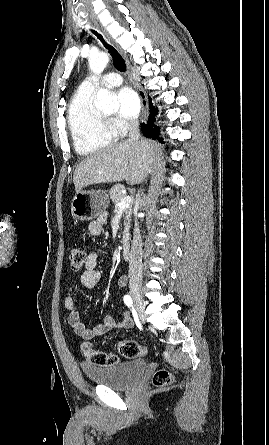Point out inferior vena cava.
<instances>
[{
  "label": "inferior vena cava",
  "instance_id": "1",
  "mask_svg": "<svg viewBox=\"0 0 269 445\" xmlns=\"http://www.w3.org/2000/svg\"><path fill=\"white\" fill-rule=\"evenodd\" d=\"M128 130H129L128 141L133 142V141H138L140 139L139 121L137 119L130 120ZM128 277L130 281L142 279V239L138 224H136L134 230V236L130 252Z\"/></svg>",
  "mask_w": 269,
  "mask_h": 445
}]
</instances>
